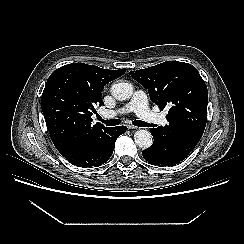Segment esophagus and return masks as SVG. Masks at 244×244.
Wrapping results in <instances>:
<instances>
[{
	"instance_id": "obj_1",
	"label": "esophagus",
	"mask_w": 244,
	"mask_h": 244,
	"mask_svg": "<svg viewBox=\"0 0 244 244\" xmlns=\"http://www.w3.org/2000/svg\"><path fill=\"white\" fill-rule=\"evenodd\" d=\"M127 128H128V129H131V130H134V129H137L138 127H136V126H134V125H132V124H128V125H127Z\"/></svg>"
}]
</instances>
